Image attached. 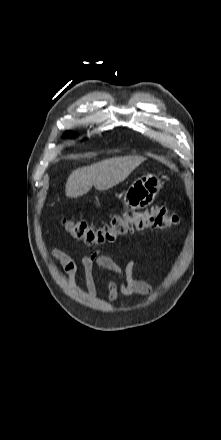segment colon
Returning a JSON list of instances; mask_svg holds the SVG:
<instances>
[{
    "mask_svg": "<svg viewBox=\"0 0 221 440\" xmlns=\"http://www.w3.org/2000/svg\"><path fill=\"white\" fill-rule=\"evenodd\" d=\"M178 221L177 215L164 206H152L145 210H131L116 214L109 223L92 227L87 222L69 217L62 218L65 230L75 239L89 246H99L115 241L134 230H165Z\"/></svg>",
    "mask_w": 221,
    "mask_h": 440,
    "instance_id": "colon-1",
    "label": "colon"
}]
</instances>
